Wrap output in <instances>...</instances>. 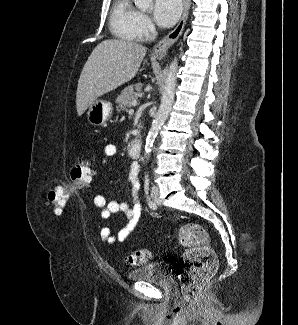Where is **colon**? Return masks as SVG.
Returning <instances> with one entry per match:
<instances>
[{
    "label": "colon",
    "mask_w": 298,
    "mask_h": 325,
    "mask_svg": "<svg viewBox=\"0 0 298 325\" xmlns=\"http://www.w3.org/2000/svg\"><path fill=\"white\" fill-rule=\"evenodd\" d=\"M93 175L92 160L79 157L71 169V183L67 187L53 188L46 200L57 211H61L68 198L76 190L85 188ZM180 244L185 247L176 275L183 296L195 299L200 291L210 281L217 269V260L209 244L207 232L197 224H186L179 231ZM152 254L147 249H138L130 253L128 263L132 266L142 265L150 261Z\"/></svg>",
    "instance_id": "1"
}]
</instances>
